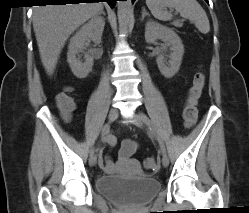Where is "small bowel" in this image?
<instances>
[{
  "instance_id": "small-bowel-1",
  "label": "small bowel",
  "mask_w": 249,
  "mask_h": 213,
  "mask_svg": "<svg viewBox=\"0 0 249 213\" xmlns=\"http://www.w3.org/2000/svg\"><path fill=\"white\" fill-rule=\"evenodd\" d=\"M104 139L110 147L116 145V138L114 136H107ZM137 148L138 144L136 141L131 139L123 140L118 153V160L120 162L126 161L137 151ZM98 165L106 173H112L116 169V164L114 161L109 155L104 154L103 150H100L98 153Z\"/></svg>"
}]
</instances>
